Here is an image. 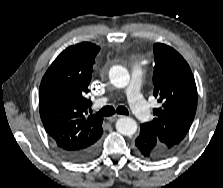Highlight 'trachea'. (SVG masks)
Listing matches in <instances>:
<instances>
[{"label":"trachea","mask_w":223,"mask_h":188,"mask_svg":"<svg viewBox=\"0 0 223 188\" xmlns=\"http://www.w3.org/2000/svg\"><path fill=\"white\" fill-rule=\"evenodd\" d=\"M115 112H117L118 114H121V115L129 114L128 109L124 106L117 107L116 111L112 106H105L99 112H97V114L100 116H111V115L115 114Z\"/></svg>","instance_id":"trachea-1"}]
</instances>
